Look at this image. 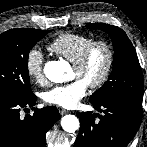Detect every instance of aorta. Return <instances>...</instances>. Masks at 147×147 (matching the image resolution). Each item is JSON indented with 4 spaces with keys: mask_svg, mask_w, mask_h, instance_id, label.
I'll use <instances>...</instances> for the list:
<instances>
[{
    "mask_svg": "<svg viewBox=\"0 0 147 147\" xmlns=\"http://www.w3.org/2000/svg\"><path fill=\"white\" fill-rule=\"evenodd\" d=\"M70 66L64 60L49 61L44 66V74L54 83H64L69 81ZM79 120L74 115H65L61 119V126L64 131L73 133L79 128Z\"/></svg>",
    "mask_w": 147,
    "mask_h": 147,
    "instance_id": "762f6f07",
    "label": "aorta"
}]
</instances>
